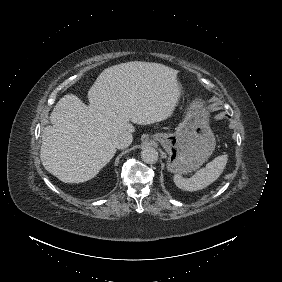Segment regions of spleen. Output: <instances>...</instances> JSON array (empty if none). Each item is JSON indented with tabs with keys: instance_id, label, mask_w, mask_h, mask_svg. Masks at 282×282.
Returning <instances> with one entry per match:
<instances>
[{
	"instance_id": "1",
	"label": "spleen",
	"mask_w": 282,
	"mask_h": 282,
	"mask_svg": "<svg viewBox=\"0 0 282 282\" xmlns=\"http://www.w3.org/2000/svg\"><path fill=\"white\" fill-rule=\"evenodd\" d=\"M228 161V155L224 154L216 157L207 163L190 178H183L181 175L174 176L176 186L185 191H197L206 188L216 181L222 174Z\"/></svg>"
}]
</instances>
